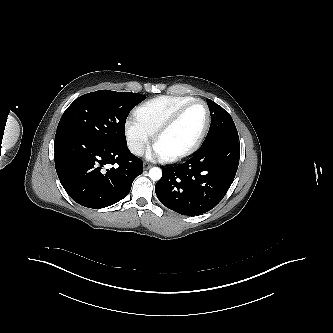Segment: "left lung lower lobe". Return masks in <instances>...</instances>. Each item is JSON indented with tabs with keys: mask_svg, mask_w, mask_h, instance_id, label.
I'll return each mask as SVG.
<instances>
[{
	"mask_svg": "<svg viewBox=\"0 0 333 333\" xmlns=\"http://www.w3.org/2000/svg\"><path fill=\"white\" fill-rule=\"evenodd\" d=\"M240 156L238 139L210 142L187 162L162 168L155 185L160 202L182 215H200L213 209L225 196L237 172Z\"/></svg>",
	"mask_w": 333,
	"mask_h": 333,
	"instance_id": "obj_1",
	"label": "left lung lower lobe"
}]
</instances>
